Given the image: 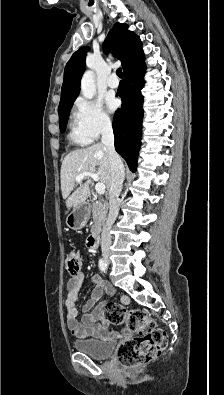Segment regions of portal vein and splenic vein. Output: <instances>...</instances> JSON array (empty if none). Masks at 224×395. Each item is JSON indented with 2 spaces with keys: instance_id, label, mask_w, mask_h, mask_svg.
<instances>
[{
  "instance_id": "obj_1",
  "label": "portal vein and splenic vein",
  "mask_w": 224,
  "mask_h": 395,
  "mask_svg": "<svg viewBox=\"0 0 224 395\" xmlns=\"http://www.w3.org/2000/svg\"><path fill=\"white\" fill-rule=\"evenodd\" d=\"M84 177H91L94 181L99 180L98 175L95 173H91V172H83V173L79 174L75 178V180H76V182H81ZM95 189H96V192L101 195V194L105 193L106 186L103 183H97L95 186Z\"/></svg>"
}]
</instances>
